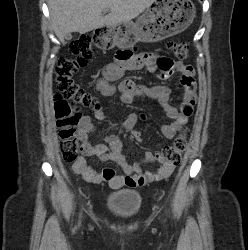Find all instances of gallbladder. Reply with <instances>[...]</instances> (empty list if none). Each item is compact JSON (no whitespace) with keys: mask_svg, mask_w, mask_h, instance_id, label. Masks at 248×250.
<instances>
[{"mask_svg":"<svg viewBox=\"0 0 248 250\" xmlns=\"http://www.w3.org/2000/svg\"><path fill=\"white\" fill-rule=\"evenodd\" d=\"M71 38H72L71 33H70V34H67L66 37H65L66 40H70Z\"/></svg>","mask_w":248,"mask_h":250,"instance_id":"gallbladder-1","label":"gallbladder"}]
</instances>
